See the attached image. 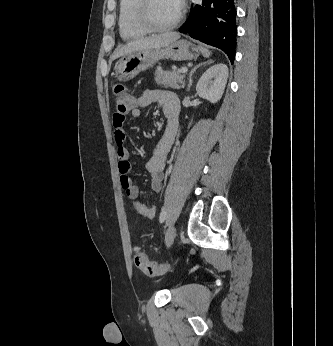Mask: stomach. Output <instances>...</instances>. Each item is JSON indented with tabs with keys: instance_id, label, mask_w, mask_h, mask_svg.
I'll list each match as a JSON object with an SVG mask.
<instances>
[{
	"instance_id": "obj_1",
	"label": "stomach",
	"mask_w": 333,
	"mask_h": 346,
	"mask_svg": "<svg viewBox=\"0 0 333 346\" xmlns=\"http://www.w3.org/2000/svg\"><path fill=\"white\" fill-rule=\"evenodd\" d=\"M200 48L187 40H176L166 47L147 49L124 55L115 65V77L129 81L141 71L152 67L160 59L192 60L200 54Z\"/></svg>"
}]
</instances>
